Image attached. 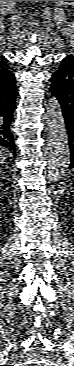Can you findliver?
<instances>
[{
	"label": "liver",
	"mask_w": 74,
	"mask_h": 366,
	"mask_svg": "<svg viewBox=\"0 0 74 366\" xmlns=\"http://www.w3.org/2000/svg\"><path fill=\"white\" fill-rule=\"evenodd\" d=\"M7 153H8V151L5 148H3V147L0 148L1 161H4L6 159Z\"/></svg>",
	"instance_id": "1"
}]
</instances>
